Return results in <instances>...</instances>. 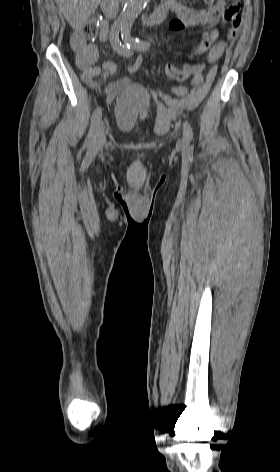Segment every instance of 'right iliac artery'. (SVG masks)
<instances>
[{"instance_id": "82829eb1", "label": "right iliac artery", "mask_w": 280, "mask_h": 472, "mask_svg": "<svg viewBox=\"0 0 280 472\" xmlns=\"http://www.w3.org/2000/svg\"><path fill=\"white\" fill-rule=\"evenodd\" d=\"M121 29L122 27L120 25L112 26L111 31H110V43L113 49L118 54L123 55L124 57H130L132 55V50L127 45H123L119 41V38H118V35ZM105 75L106 73L104 74V77ZM101 117H102V108L97 107L92 114L90 130L85 140V146H88L90 150H92L94 146L95 138H96V130H97Z\"/></svg>"}]
</instances>
